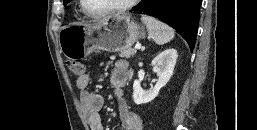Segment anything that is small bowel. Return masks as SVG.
<instances>
[{
    "label": "small bowel",
    "instance_id": "obj_1",
    "mask_svg": "<svg viewBox=\"0 0 257 130\" xmlns=\"http://www.w3.org/2000/svg\"><path fill=\"white\" fill-rule=\"evenodd\" d=\"M129 79V64L126 60H118L111 71L110 82L114 95L118 98V113L122 130H143L142 118L131 111L123 98L124 87ZM90 77L84 74L77 78L80 90V104L87 119L90 130H104L100 111L103 107V96L89 90Z\"/></svg>",
    "mask_w": 257,
    "mask_h": 130
}]
</instances>
